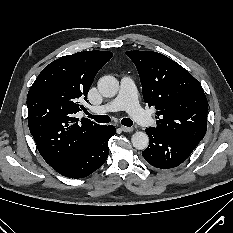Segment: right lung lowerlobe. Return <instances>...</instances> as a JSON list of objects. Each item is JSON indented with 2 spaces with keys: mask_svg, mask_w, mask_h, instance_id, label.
Listing matches in <instances>:
<instances>
[{
  "mask_svg": "<svg viewBox=\"0 0 233 233\" xmlns=\"http://www.w3.org/2000/svg\"><path fill=\"white\" fill-rule=\"evenodd\" d=\"M115 133L114 126H106L84 150L54 166V170L69 178H84L90 175L106 161L109 154L108 141Z\"/></svg>",
  "mask_w": 233,
  "mask_h": 233,
  "instance_id": "1",
  "label": "right lung lower lobe"
}]
</instances>
